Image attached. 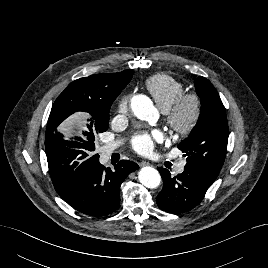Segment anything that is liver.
Listing matches in <instances>:
<instances>
[{"instance_id": "6515ba94", "label": "liver", "mask_w": 268, "mask_h": 268, "mask_svg": "<svg viewBox=\"0 0 268 268\" xmlns=\"http://www.w3.org/2000/svg\"><path fill=\"white\" fill-rule=\"evenodd\" d=\"M82 119H83L82 116H76L70 119L62 126V130L68 134H72V133L78 134V130H81L83 128Z\"/></svg>"}]
</instances>
